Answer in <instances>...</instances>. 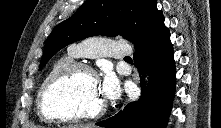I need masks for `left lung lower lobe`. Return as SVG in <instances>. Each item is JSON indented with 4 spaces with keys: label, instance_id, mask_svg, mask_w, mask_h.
I'll list each match as a JSON object with an SVG mask.
<instances>
[{
    "label": "left lung lower lobe",
    "instance_id": "1",
    "mask_svg": "<svg viewBox=\"0 0 221 128\" xmlns=\"http://www.w3.org/2000/svg\"><path fill=\"white\" fill-rule=\"evenodd\" d=\"M173 54L169 30L162 18L147 39L136 46L134 54L135 66L142 74L143 96L96 125L109 128H166L175 92ZM145 68L149 74L148 89L145 88Z\"/></svg>",
    "mask_w": 221,
    "mask_h": 128
}]
</instances>
